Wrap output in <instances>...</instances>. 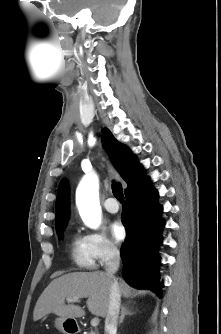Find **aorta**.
I'll list each match as a JSON object with an SVG mask.
<instances>
[{
	"label": "aorta",
	"mask_w": 221,
	"mask_h": 334,
	"mask_svg": "<svg viewBox=\"0 0 221 334\" xmlns=\"http://www.w3.org/2000/svg\"><path fill=\"white\" fill-rule=\"evenodd\" d=\"M76 205L84 224L97 229L101 225L102 211L99 202V180L95 174H87L76 190Z\"/></svg>",
	"instance_id": "762f6f07"
}]
</instances>
